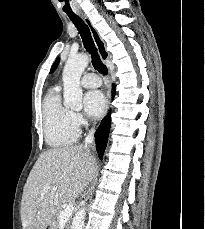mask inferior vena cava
Returning a JSON list of instances; mask_svg holds the SVG:
<instances>
[{
    "label": "inferior vena cava",
    "instance_id": "inferior-vena-cava-1",
    "mask_svg": "<svg viewBox=\"0 0 205 229\" xmlns=\"http://www.w3.org/2000/svg\"><path fill=\"white\" fill-rule=\"evenodd\" d=\"M94 142V129H91L85 138L84 148L89 151V146Z\"/></svg>",
    "mask_w": 205,
    "mask_h": 229
}]
</instances>
